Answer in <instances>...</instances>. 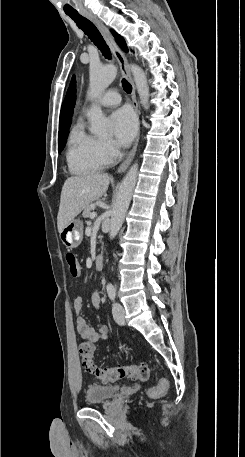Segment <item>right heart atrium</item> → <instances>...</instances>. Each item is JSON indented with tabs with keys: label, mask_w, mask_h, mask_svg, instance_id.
Segmentation results:
<instances>
[{
	"label": "right heart atrium",
	"mask_w": 245,
	"mask_h": 457,
	"mask_svg": "<svg viewBox=\"0 0 245 457\" xmlns=\"http://www.w3.org/2000/svg\"><path fill=\"white\" fill-rule=\"evenodd\" d=\"M98 148L100 153L107 159L112 160L117 157L118 150L115 144L111 141L98 140Z\"/></svg>",
	"instance_id": "right-heart-atrium-1"
}]
</instances>
